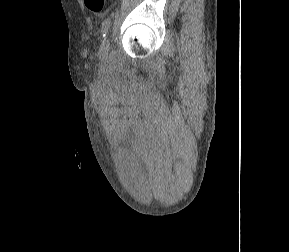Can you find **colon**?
I'll use <instances>...</instances> for the list:
<instances>
[{
	"label": "colon",
	"mask_w": 289,
	"mask_h": 252,
	"mask_svg": "<svg viewBox=\"0 0 289 252\" xmlns=\"http://www.w3.org/2000/svg\"><path fill=\"white\" fill-rule=\"evenodd\" d=\"M84 4L89 11L99 14L104 9L105 0H84Z\"/></svg>",
	"instance_id": "obj_1"
}]
</instances>
